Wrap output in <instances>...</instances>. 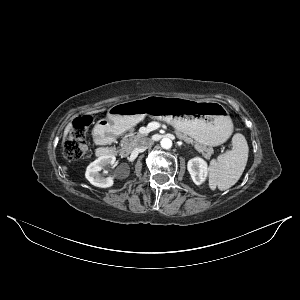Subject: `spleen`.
<instances>
[{"label": "spleen", "instance_id": "1", "mask_svg": "<svg viewBox=\"0 0 300 300\" xmlns=\"http://www.w3.org/2000/svg\"><path fill=\"white\" fill-rule=\"evenodd\" d=\"M232 149L210 162L209 187L224 191L240 179L248 160V144L245 137L237 133L232 137Z\"/></svg>", "mask_w": 300, "mask_h": 300}]
</instances>
